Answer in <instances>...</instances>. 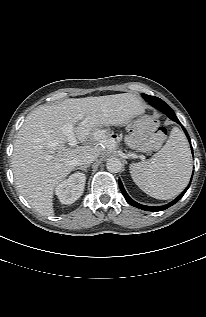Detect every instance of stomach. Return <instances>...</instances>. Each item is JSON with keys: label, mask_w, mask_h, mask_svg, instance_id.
<instances>
[{"label": "stomach", "mask_w": 206, "mask_h": 317, "mask_svg": "<svg viewBox=\"0 0 206 317\" xmlns=\"http://www.w3.org/2000/svg\"><path fill=\"white\" fill-rule=\"evenodd\" d=\"M125 143L131 149L146 152L153 149L151 143V120L147 116L131 120L126 126ZM114 130L111 125L102 123L93 128L91 137L94 142L104 144L112 139Z\"/></svg>", "instance_id": "stomach-1"}]
</instances>
